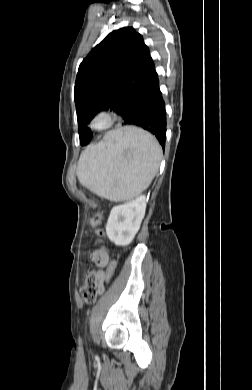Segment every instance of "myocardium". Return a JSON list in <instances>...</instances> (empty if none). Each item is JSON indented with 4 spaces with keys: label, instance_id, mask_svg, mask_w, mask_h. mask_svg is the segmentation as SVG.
<instances>
[{
    "label": "myocardium",
    "instance_id": "myocardium-1",
    "mask_svg": "<svg viewBox=\"0 0 252 390\" xmlns=\"http://www.w3.org/2000/svg\"><path fill=\"white\" fill-rule=\"evenodd\" d=\"M116 120L115 114L107 109L96 112L90 120V126L98 131H105L111 128Z\"/></svg>",
    "mask_w": 252,
    "mask_h": 390
}]
</instances>
